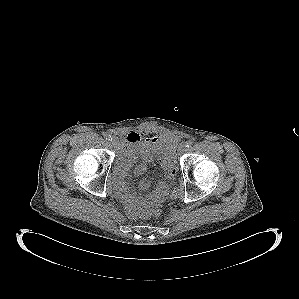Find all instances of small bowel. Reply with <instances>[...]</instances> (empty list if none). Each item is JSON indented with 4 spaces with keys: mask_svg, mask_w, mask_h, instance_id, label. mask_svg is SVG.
<instances>
[{
    "mask_svg": "<svg viewBox=\"0 0 299 299\" xmlns=\"http://www.w3.org/2000/svg\"><path fill=\"white\" fill-rule=\"evenodd\" d=\"M124 146L119 157V188L121 195L131 200L134 198L133 193L127 186V173L138 157L141 158V163L135 166L134 173L136 175L144 174L148 165L152 163L155 156L158 157L159 164L166 172V180L160 181L154 192L150 196V200L159 203L167 195L169 184L176 172L173 168L176 166V159L173 152L174 145L178 138L174 135H155L146 136L142 133L129 131L123 135ZM149 186L147 180L140 183V188L145 190Z\"/></svg>",
    "mask_w": 299,
    "mask_h": 299,
    "instance_id": "1",
    "label": "small bowel"
}]
</instances>
